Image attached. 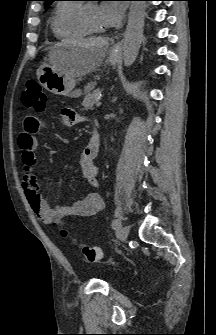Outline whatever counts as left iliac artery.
Listing matches in <instances>:
<instances>
[{
	"instance_id": "obj_1",
	"label": "left iliac artery",
	"mask_w": 216,
	"mask_h": 335,
	"mask_svg": "<svg viewBox=\"0 0 216 335\" xmlns=\"http://www.w3.org/2000/svg\"><path fill=\"white\" fill-rule=\"evenodd\" d=\"M112 227H113V229H119L121 227V222L119 220H115L112 223Z\"/></svg>"
}]
</instances>
